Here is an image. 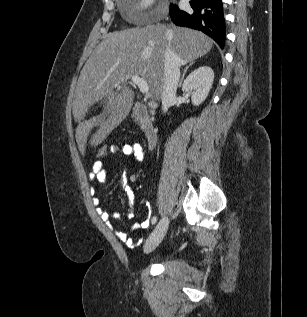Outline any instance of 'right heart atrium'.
<instances>
[{
  "label": "right heart atrium",
  "mask_w": 307,
  "mask_h": 317,
  "mask_svg": "<svg viewBox=\"0 0 307 317\" xmlns=\"http://www.w3.org/2000/svg\"><path fill=\"white\" fill-rule=\"evenodd\" d=\"M154 1L155 0H135V3L130 9V14L135 19L148 16L152 12Z\"/></svg>",
  "instance_id": "d8ad5b80"
}]
</instances>
